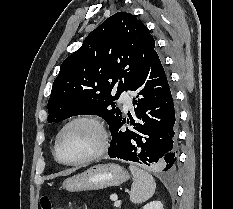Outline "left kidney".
<instances>
[{
    "mask_svg": "<svg viewBox=\"0 0 233 209\" xmlns=\"http://www.w3.org/2000/svg\"><path fill=\"white\" fill-rule=\"evenodd\" d=\"M142 209H163V205L161 201L156 200L146 204Z\"/></svg>",
    "mask_w": 233,
    "mask_h": 209,
    "instance_id": "left-kidney-1",
    "label": "left kidney"
}]
</instances>
